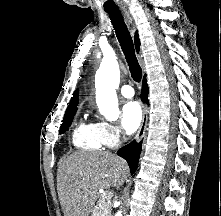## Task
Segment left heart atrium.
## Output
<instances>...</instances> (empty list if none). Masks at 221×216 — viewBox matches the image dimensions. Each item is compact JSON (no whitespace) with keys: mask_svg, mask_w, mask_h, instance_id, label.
Listing matches in <instances>:
<instances>
[{"mask_svg":"<svg viewBox=\"0 0 221 216\" xmlns=\"http://www.w3.org/2000/svg\"><path fill=\"white\" fill-rule=\"evenodd\" d=\"M142 122V110L135 101L126 103L122 108L121 124L127 134H133L138 130Z\"/></svg>","mask_w":221,"mask_h":216,"instance_id":"39dd6f15","label":"left heart atrium"}]
</instances>
